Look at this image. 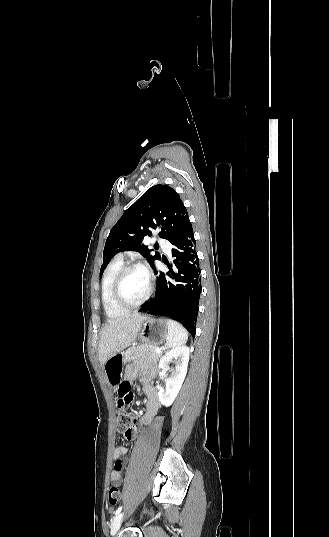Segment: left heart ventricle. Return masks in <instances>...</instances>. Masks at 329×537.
Wrapping results in <instances>:
<instances>
[{
    "mask_svg": "<svg viewBox=\"0 0 329 537\" xmlns=\"http://www.w3.org/2000/svg\"><path fill=\"white\" fill-rule=\"evenodd\" d=\"M148 289V276L140 269L130 271L122 283L123 298L129 303L139 301Z\"/></svg>",
    "mask_w": 329,
    "mask_h": 537,
    "instance_id": "1",
    "label": "left heart ventricle"
}]
</instances>
